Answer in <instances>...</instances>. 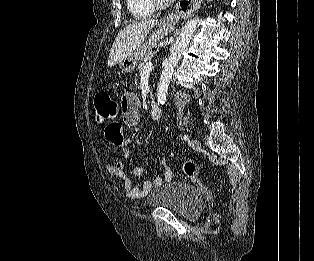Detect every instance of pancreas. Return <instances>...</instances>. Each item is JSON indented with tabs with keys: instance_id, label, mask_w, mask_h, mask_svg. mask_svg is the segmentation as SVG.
<instances>
[{
	"instance_id": "pancreas-1",
	"label": "pancreas",
	"mask_w": 314,
	"mask_h": 261,
	"mask_svg": "<svg viewBox=\"0 0 314 261\" xmlns=\"http://www.w3.org/2000/svg\"><path fill=\"white\" fill-rule=\"evenodd\" d=\"M142 51L144 52L143 56L140 58L138 62L137 69L139 70V73L142 74L144 70V65L149 62L153 58L154 52H152L151 48H148L146 43L142 46ZM152 97V95H151Z\"/></svg>"
}]
</instances>
